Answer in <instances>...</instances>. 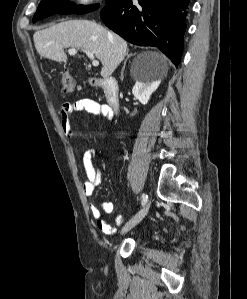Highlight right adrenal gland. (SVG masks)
I'll return each instance as SVG.
<instances>
[{
  "mask_svg": "<svg viewBox=\"0 0 247 299\" xmlns=\"http://www.w3.org/2000/svg\"><path fill=\"white\" fill-rule=\"evenodd\" d=\"M134 55H136V54H135V53L133 54V53H128V52H127V54H126L127 58H126L125 61H124V65H123L122 72H121V77H123V72H124V69H125V65H126L127 60H128L130 57L134 56Z\"/></svg>",
  "mask_w": 247,
  "mask_h": 299,
  "instance_id": "right-adrenal-gland-1",
  "label": "right adrenal gland"
}]
</instances>
